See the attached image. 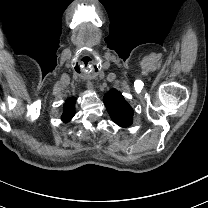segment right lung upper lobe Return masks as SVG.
I'll return each instance as SVG.
<instances>
[{
  "instance_id": "1",
  "label": "right lung upper lobe",
  "mask_w": 208,
  "mask_h": 208,
  "mask_svg": "<svg viewBox=\"0 0 208 208\" xmlns=\"http://www.w3.org/2000/svg\"><path fill=\"white\" fill-rule=\"evenodd\" d=\"M75 115V99L69 98L63 108L62 121L68 122Z\"/></svg>"
}]
</instances>
